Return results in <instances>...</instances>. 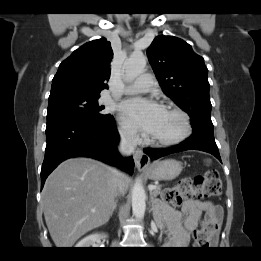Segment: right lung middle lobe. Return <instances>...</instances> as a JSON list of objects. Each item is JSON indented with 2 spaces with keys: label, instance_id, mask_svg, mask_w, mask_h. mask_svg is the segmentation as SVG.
Returning <instances> with one entry per match:
<instances>
[{
  "label": "right lung middle lobe",
  "instance_id": "right-lung-middle-lobe-1",
  "mask_svg": "<svg viewBox=\"0 0 261 261\" xmlns=\"http://www.w3.org/2000/svg\"><path fill=\"white\" fill-rule=\"evenodd\" d=\"M100 96H88L76 92H60L49 96L47 121L65 118L82 117L95 120L110 118L102 114L103 106L98 105Z\"/></svg>",
  "mask_w": 261,
  "mask_h": 261
}]
</instances>
